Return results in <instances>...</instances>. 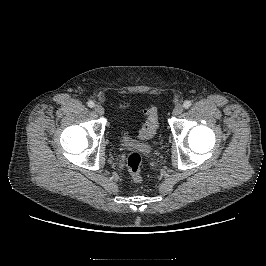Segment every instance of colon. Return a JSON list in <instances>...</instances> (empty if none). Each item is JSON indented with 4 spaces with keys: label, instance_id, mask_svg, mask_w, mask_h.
I'll list each match as a JSON object with an SVG mask.
<instances>
[{
    "label": "colon",
    "instance_id": "5ec220e1",
    "mask_svg": "<svg viewBox=\"0 0 266 266\" xmlns=\"http://www.w3.org/2000/svg\"><path fill=\"white\" fill-rule=\"evenodd\" d=\"M145 114L147 116L146 122L139 132V138L142 140H148L152 138L158 129V111L155 107L146 109ZM142 157L137 152H132L128 155L126 160L127 170L131 176V179L135 183L142 182L141 173Z\"/></svg>",
    "mask_w": 266,
    "mask_h": 266
}]
</instances>
